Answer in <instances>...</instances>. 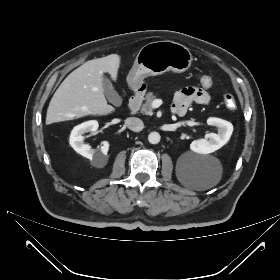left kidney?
<instances>
[{"label":"left kidney","mask_w":280,"mask_h":280,"mask_svg":"<svg viewBox=\"0 0 280 280\" xmlns=\"http://www.w3.org/2000/svg\"><path fill=\"white\" fill-rule=\"evenodd\" d=\"M207 124L218 127V133H208L205 138L194 140L190 144V149L198 154H209L224 146L230 139L233 132V125L229 121L209 117Z\"/></svg>","instance_id":"obj_1"}]
</instances>
